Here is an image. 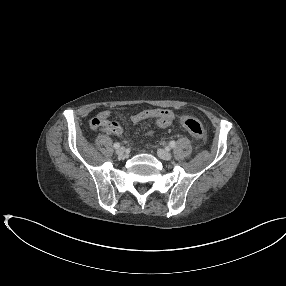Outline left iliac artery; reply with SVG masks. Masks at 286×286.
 <instances>
[{"instance_id":"obj_1","label":"left iliac artery","mask_w":286,"mask_h":286,"mask_svg":"<svg viewBox=\"0 0 286 286\" xmlns=\"http://www.w3.org/2000/svg\"><path fill=\"white\" fill-rule=\"evenodd\" d=\"M175 145H176L175 141H171V142L169 143V146H170L171 148H174Z\"/></svg>"}]
</instances>
